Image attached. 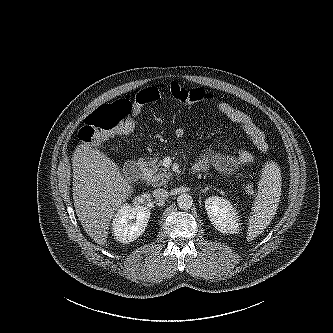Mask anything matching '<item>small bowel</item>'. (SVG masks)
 <instances>
[{
	"label": "small bowel",
	"instance_id": "obj_1",
	"mask_svg": "<svg viewBox=\"0 0 333 333\" xmlns=\"http://www.w3.org/2000/svg\"><path fill=\"white\" fill-rule=\"evenodd\" d=\"M217 109L244 132L245 136L260 153H267L268 143L266 137L248 114L224 101L217 104ZM174 134L177 138L181 139L185 136L186 132L183 128L178 127ZM252 162L253 155L245 149L238 150L235 155H227L213 150H207L200 156L194 167L199 171H204L210 166H213L225 175H232L242 166L249 165Z\"/></svg>",
	"mask_w": 333,
	"mask_h": 333
}]
</instances>
